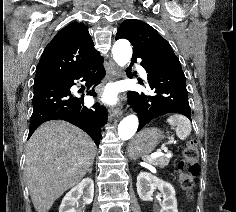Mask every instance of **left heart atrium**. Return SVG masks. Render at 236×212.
I'll list each match as a JSON object with an SVG mask.
<instances>
[{
	"instance_id": "1",
	"label": "left heart atrium",
	"mask_w": 236,
	"mask_h": 212,
	"mask_svg": "<svg viewBox=\"0 0 236 212\" xmlns=\"http://www.w3.org/2000/svg\"><path fill=\"white\" fill-rule=\"evenodd\" d=\"M103 101L108 103V104H112L116 101V93L114 90L112 89H108L104 92L103 97H102Z\"/></svg>"
}]
</instances>
